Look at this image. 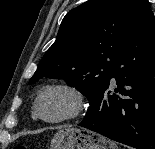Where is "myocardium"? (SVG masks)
Listing matches in <instances>:
<instances>
[{
	"mask_svg": "<svg viewBox=\"0 0 155 149\" xmlns=\"http://www.w3.org/2000/svg\"><path fill=\"white\" fill-rule=\"evenodd\" d=\"M51 91H61L68 94L71 97L73 104L69 113H67L66 115H63L57 118H51V119L46 118L41 114L40 101L44 97V95H46ZM84 108H85V98L80 89L66 83H53L43 87L37 94L33 104V114L36 118H38L43 122L50 123V124H57V123H63V122H68V121L77 119L83 113Z\"/></svg>",
	"mask_w": 155,
	"mask_h": 149,
	"instance_id": "1",
	"label": "myocardium"
}]
</instances>
